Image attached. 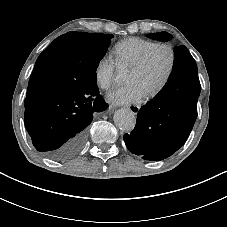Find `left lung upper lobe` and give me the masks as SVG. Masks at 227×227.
<instances>
[{
    "mask_svg": "<svg viewBox=\"0 0 227 227\" xmlns=\"http://www.w3.org/2000/svg\"><path fill=\"white\" fill-rule=\"evenodd\" d=\"M149 37L152 39L166 42L170 40L172 36L167 32H159V33L149 34Z\"/></svg>",
    "mask_w": 227,
    "mask_h": 227,
    "instance_id": "5c2ea615",
    "label": "left lung upper lobe"
}]
</instances>
